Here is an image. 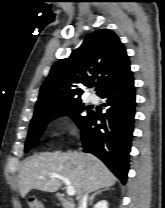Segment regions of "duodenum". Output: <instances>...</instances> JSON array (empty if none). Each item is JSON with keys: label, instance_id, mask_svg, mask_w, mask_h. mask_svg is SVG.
<instances>
[{"label": "duodenum", "instance_id": "obj_1", "mask_svg": "<svg viewBox=\"0 0 165 208\" xmlns=\"http://www.w3.org/2000/svg\"><path fill=\"white\" fill-rule=\"evenodd\" d=\"M57 199L63 208H75L72 201L63 194H58Z\"/></svg>", "mask_w": 165, "mask_h": 208}]
</instances>
